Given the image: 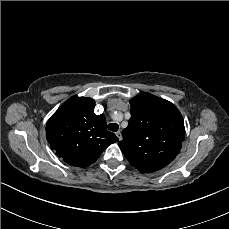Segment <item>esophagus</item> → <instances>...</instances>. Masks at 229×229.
I'll list each match as a JSON object with an SVG mask.
<instances>
[{"instance_id":"esophagus-1","label":"esophagus","mask_w":229,"mask_h":229,"mask_svg":"<svg viewBox=\"0 0 229 229\" xmlns=\"http://www.w3.org/2000/svg\"><path fill=\"white\" fill-rule=\"evenodd\" d=\"M116 136L118 137L119 140H122L121 131H117V132H116Z\"/></svg>"}]
</instances>
